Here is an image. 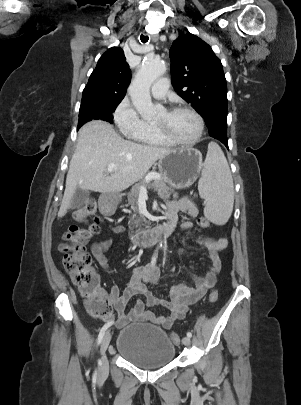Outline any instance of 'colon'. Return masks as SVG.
I'll return each mask as SVG.
<instances>
[{"label":"colon","instance_id":"1","mask_svg":"<svg viewBox=\"0 0 301 405\" xmlns=\"http://www.w3.org/2000/svg\"><path fill=\"white\" fill-rule=\"evenodd\" d=\"M96 211V203L88 201L73 214L74 220L78 222H87L88 218H92V221L83 227L73 224L65 233L67 243L62 249L63 265L85 298L91 315L101 320H107L112 314L111 306L99 287V278L93 269L91 256L86 249L88 240L100 230L99 219L95 217ZM197 224L201 228L210 226V222L204 217H200ZM218 297V291L213 290L209 295V301L214 303ZM171 340L176 345L180 344V337L176 333H171Z\"/></svg>","mask_w":301,"mask_h":405}]
</instances>
